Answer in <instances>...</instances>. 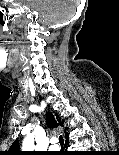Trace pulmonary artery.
Returning a JSON list of instances; mask_svg holds the SVG:
<instances>
[{
    "label": "pulmonary artery",
    "instance_id": "obj_1",
    "mask_svg": "<svg viewBox=\"0 0 119 155\" xmlns=\"http://www.w3.org/2000/svg\"><path fill=\"white\" fill-rule=\"evenodd\" d=\"M51 149H57V147H51Z\"/></svg>",
    "mask_w": 119,
    "mask_h": 155
}]
</instances>
